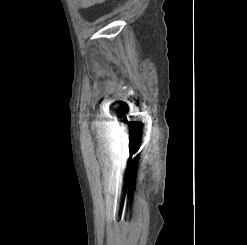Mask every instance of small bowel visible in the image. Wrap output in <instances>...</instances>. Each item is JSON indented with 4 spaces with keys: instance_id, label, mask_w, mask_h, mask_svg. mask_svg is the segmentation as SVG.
I'll return each mask as SVG.
<instances>
[{
    "instance_id": "c3829d8e",
    "label": "small bowel",
    "mask_w": 247,
    "mask_h": 245,
    "mask_svg": "<svg viewBox=\"0 0 247 245\" xmlns=\"http://www.w3.org/2000/svg\"><path fill=\"white\" fill-rule=\"evenodd\" d=\"M77 4L81 8H88L98 3H102L104 0H76Z\"/></svg>"
}]
</instances>
